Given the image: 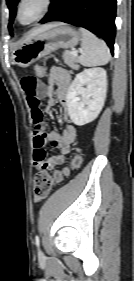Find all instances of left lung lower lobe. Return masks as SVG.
Here are the masks:
<instances>
[{
	"mask_svg": "<svg viewBox=\"0 0 134 281\" xmlns=\"http://www.w3.org/2000/svg\"><path fill=\"white\" fill-rule=\"evenodd\" d=\"M116 0H55L40 21H63L100 35L114 53Z\"/></svg>",
	"mask_w": 134,
	"mask_h": 281,
	"instance_id": "1",
	"label": "left lung lower lobe"
}]
</instances>
